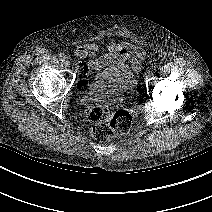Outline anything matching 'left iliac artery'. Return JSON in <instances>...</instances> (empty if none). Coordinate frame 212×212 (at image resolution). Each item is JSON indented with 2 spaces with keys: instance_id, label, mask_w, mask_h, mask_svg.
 <instances>
[{
  "instance_id": "obj_1",
  "label": "left iliac artery",
  "mask_w": 212,
  "mask_h": 212,
  "mask_svg": "<svg viewBox=\"0 0 212 212\" xmlns=\"http://www.w3.org/2000/svg\"><path fill=\"white\" fill-rule=\"evenodd\" d=\"M157 67H158V65H157V64H153L151 68H152L153 70H156V69H157Z\"/></svg>"
}]
</instances>
